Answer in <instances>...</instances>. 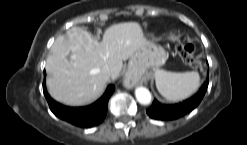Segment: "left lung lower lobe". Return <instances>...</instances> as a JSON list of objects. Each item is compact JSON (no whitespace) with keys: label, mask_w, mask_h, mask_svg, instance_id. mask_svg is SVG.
<instances>
[{"label":"left lung lower lobe","mask_w":247,"mask_h":145,"mask_svg":"<svg viewBox=\"0 0 247 145\" xmlns=\"http://www.w3.org/2000/svg\"><path fill=\"white\" fill-rule=\"evenodd\" d=\"M208 83L209 81L207 79L204 86H202L200 91L195 96L179 104L165 105L159 103L157 100H154L152 106L147 110V114L151 118L159 120H173L187 114L201 102L207 90Z\"/></svg>","instance_id":"1"}]
</instances>
